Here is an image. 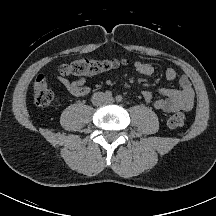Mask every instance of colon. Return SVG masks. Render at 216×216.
<instances>
[{"mask_svg": "<svg viewBox=\"0 0 216 216\" xmlns=\"http://www.w3.org/2000/svg\"><path fill=\"white\" fill-rule=\"evenodd\" d=\"M120 62L110 59H79L72 63L60 66L59 72L63 75H75L79 77H92L100 73L112 70L119 66ZM35 104L41 108L49 107L55 100L54 93L49 88L48 81L43 75H39L33 84ZM185 116L175 113L168 119V126L177 129L184 124Z\"/></svg>", "mask_w": 216, "mask_h": 216, "instance_id": "obj_1", "label": "colon"}]
</instances>
